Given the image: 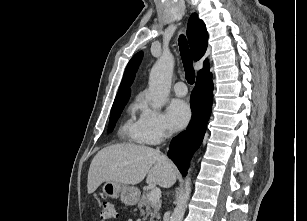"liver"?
<instances>
[{
  "label": "liver",
  "mask_w": 307,
  "mask_h": 221,
  "mask_svg": "<svg viewBox=\"0 0 307 221\" xmlns=\"http://www.w3.org/2000/svg\"><path fill=\"white\" fill-rule=\"evenodd\" d=\"M175 165L158 149L136 144H115L100 150L93 158L87 189L93 193L103 182L115 181L136 185L148 184L171 187L177 179Z\"/></svg>",
  "instance_id": "6515ba94"
}]
</instances>
